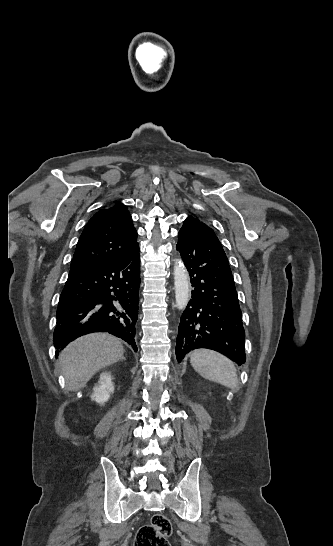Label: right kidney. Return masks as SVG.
I'll return each instance as SVG.
<instances>
[{"label":"right kidney","mask_w":333,"mask_h":546,"mask_svg":"<svg viewBox=\"0 0 333 546\" xmlns=\"http://www.w3.org/2000/svg\"><path fill=\"white\" fill-rule=\"evenodd\" d=\"M113 389L111 374L109 372H103L100 375L98 385L93 389L91 398L99 404H104L109 399L110 392H112Z\"/></svg>","instance_id":"right-kidney-1"}]
</instances>
